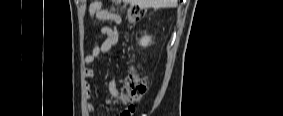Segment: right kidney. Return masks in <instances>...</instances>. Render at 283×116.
<instances>
[{
  "mask_svg": "<svg viewBox=\"0 0 283 116\" xmlns=\"http://www.w3.org/2000/svg\"><path fill=\"white\" fill-rule=\"evenodd\" d=\"M150 41H151V37L145 35L144 37H142L140 39V45L145 47V46H147L150 43Z\"/></svg>",
  "mask_w": 283,
  "mask_h": 116,
  "instance_id": "1",
  "label": "right kidney"
}]
</instances>
